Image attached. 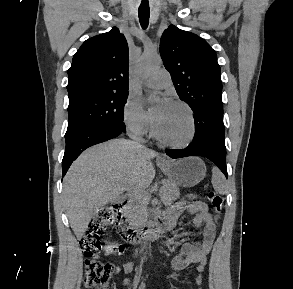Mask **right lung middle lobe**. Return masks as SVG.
Masks as SVG:
<instances>
[{
  "label": "right lung middle lobe",
  "instance_id": "dd1d6c3e",
  "mask_svg": "<svg viewBox=\"0 0 293 289\" xmlns=\"http://www.w3.org/2000/svg\"><path fill=\"white\" fill-rule=\"evenodd\" d=\"M128 93L91 95L69 101L65 139L90 127L123 121Z\"/></svg>",
  "mask_w": 293,
  "mask_h": 289
}]
</instances>
